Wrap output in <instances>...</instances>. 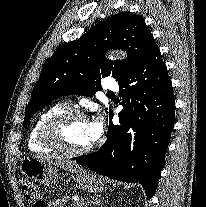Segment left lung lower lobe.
Segmentation results:
<instances>
[{"instance_id":"0a47b994","label":"left lung lower lobe","mask_w":206,"mask_h":207,"mask_svg":"<svg viewBox=\"0 0 206 207\" xmlns=\"http://www.w3.org/2000/svg\"><path fill=\"white\" fill-rule=\"evenodd\" d=\"M123 110L97 151L76 162L110 178L138 182L148 199L156 191L174 127L175 99L166 65L155 44L138 66L119 82Z\"/></svg>"}]
</instances>
